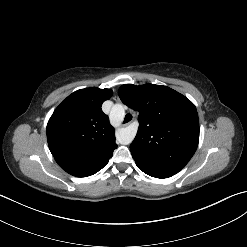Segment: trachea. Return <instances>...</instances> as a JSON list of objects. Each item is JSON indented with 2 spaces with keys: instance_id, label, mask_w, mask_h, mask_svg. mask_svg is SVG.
I'll list each match as a JSON object with an SVG mask.
<instances>
[{
  "instance_id": "trachea-1",
  "label": "trachea",
  "mask_w": 247,
  "mask_h": 247,
  "mask_svg": "<svg viewBox=\"0 0 247 247\" xmlns=\"http://www.w3.org/2000/svg\"><path fill=\"white\" fill-rule=\"evenodd\" d=\"M132 119V115L131 114H126L124 122L123 123H128L130 120Z\"/></svg>"
}]
</instances>
